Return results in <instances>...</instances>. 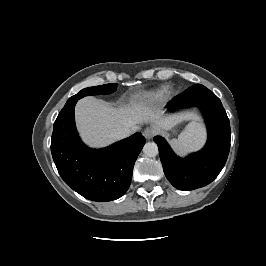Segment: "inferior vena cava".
I'll return each mask as SVG.
<instances>
[{
  "label": "inferior vena cava",
  "mask_w": 266,
  "mask_h": 266,
  "mask_svg": "<svg viewBox=\"0 0 266 266\" xmlns=\"http://www.w3.org/2000/svg\"><path fill=\"white\" fill-rule=\"evenodd\" d=\"M132 134V130L131 128L125 126V127H121L119 129H117L115 131V136L119 139H123L125 137H128Z\"/></svg>",
  "instance_id": "1"
}]
</instances>
